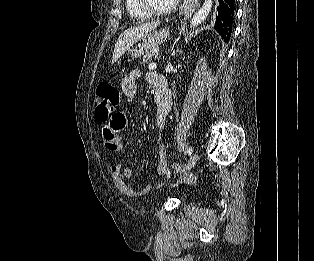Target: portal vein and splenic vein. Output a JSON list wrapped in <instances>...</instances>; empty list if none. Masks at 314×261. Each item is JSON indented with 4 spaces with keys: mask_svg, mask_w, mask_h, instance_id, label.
Masks as SVG:
<instances>
[{
    "mask_svg": "<svg viewBox=\"0 0 314 261\" xmlns=\"http://www.w3.org/2000/svg\"><path fill=\"white\" fill-rule=\"evenodd\" d=\"M156 67H157L156 63H150V64L148 65V68H149L150 70H154V69H156Z\"/></svg>",
    "mask_w": 314,
    "mask_h": 261,
    "instance_id": "obj_1",
    "label": "portal vein and splenic vein"
}]
</instances>
